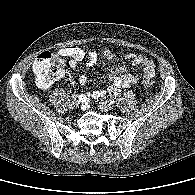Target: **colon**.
Masks as SVG:
<instances>
[{"instance_id": "obj_1", "label": "colon", "mask_w": 195, "mask_h": 195, "mask_svg": "<svg viewBox=\"0 0 195 195\" xmlns=\"http://www.w3.org/2000/svg\"><path fill=\"white\" fill-rule=\"evenodd\" d=\"M33 70L38 84L43 88H47L62 77L64 61L62 57L54 53L43 52L34 61ZM143 85L149 88L153 85V82L150 79H145Z\"/></svg>"}]
</instances>
